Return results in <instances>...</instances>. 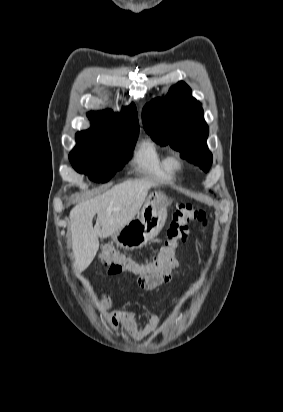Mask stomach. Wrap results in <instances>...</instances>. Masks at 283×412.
<instances>
[{
	"mask_svg": "<svg viewBox=\"0 0 283 412\" xmlns=\"http://www.w3.org/2000/svg\"><path fill=\"white\" fill-rule=\"evenodd\" d=\"M171 201L161 192L148 196L139 217L112 235L117 246L125 249L141 248L153 240L163 228L167 207Z\"/></svg>",
	"mask_w": 283,
	"mask_h": 412,
	"instance_id": "0dacf381",
	"label": "stomach"
}]
</instances>
